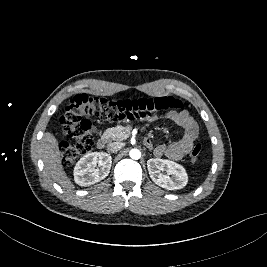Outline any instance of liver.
Masks as SVG:
<instances>
[{"label":"liver","instance_id":"6515ba94","mask_svg":"<svg viewBox=\"0 0 267 267\" xmlns=\"http://www.w3.org/2000/svg\"><path fill=\"white\" fill-rule=\"evenodd\" d=\"M41 155L47 174L63 188L68 190L74 189V184L65 173L61 164L58 141L50 132H46L42 138Z\"/></svg>","mask_w":267,"mask_h":267}]
</instances>
